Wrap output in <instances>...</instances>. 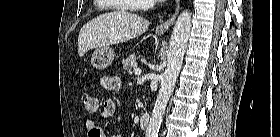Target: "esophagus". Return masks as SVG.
<instances>
[{"label": "esophagus", "instance_id": "obj_1", "mask_svg": "<svg viewBox=\"0 0 280 137\" xmlns=\"http://www.w3.org/2000/svg\"><path fill=\"white\" fill-rule=\"evenodd\" d=\"M179 11H180V1H179V0H176V8H175L174 13L172 14V16H171L167 21H165L164 23H161V24L157 25V27H156V29H155L156 32L162 34V33H164L168 28H170V27L174 24V22H175V20H176V18H177V16H178V14H179Z\"/></svg>", "mask_w": 280, "mask_h": 137}]
</instances>
